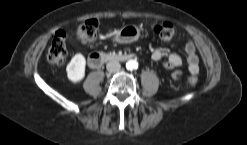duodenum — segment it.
Masks as SVG:
<instances>
[{"instance_id": "1", "label": "duodenum", "mask_w": 247, "mask_h": 145, "mask_svg": "<svg viewBox=\"0 0 247 145\" xmlns=\"http://www.w3.org/2000/svg\"><path fill=\"white\" fill-rule=\"evenodd\" d=\"M133 54H105L100 52L91 53L88 57V64L93 69L100 68L107 61L123 62L134 58Z\"/></svg>"}]
</instances>
